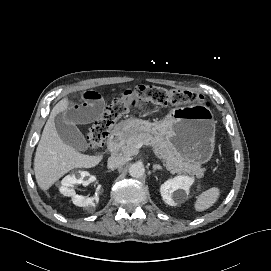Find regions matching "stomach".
I'll list each match as a JSON object with an SVG mask.
<instances>
[{
    "mask_svg": "<svg viewBox=\"0 0 271 271\" xmlns=\"http://www.w3.org/2000/svg\"><path fill=\"white\" fill-rule=\"evenodd\" d=\"M215 125L212 112L204 105L198 104L175 107L160 121L129 118L117 129L126 136L138 132L161 135L186 161L201 165L213 154Z\"/></svg>",
    "mask_w": 271,
    "mask_h": 271,
    "instance_id": "0dacf381",
    "label": "stomach"
}]
</instances>
